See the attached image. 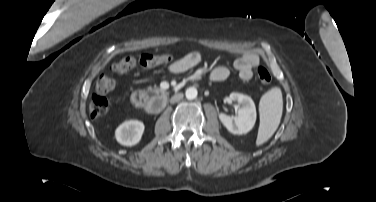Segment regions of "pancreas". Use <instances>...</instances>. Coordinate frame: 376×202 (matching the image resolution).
Wrapping results in <instances>:
<instances>
[{"instance_id": "obj_1", "label": "pancreas", "mask_w": 376, "mask_h": 202, "mask_svg": "<svg viewBox=\"0 0 376 202\" xmlns=\"http://www.w3.org/2000/svg\"><path fill=\"white\" fill-rule=\"evenodd\" d=\"M146 92L147 93H153L155 95H163L165 96L166 95V91L161 89V88H157V87H148L146 89Z\"/></svg>"}]
</instances>
